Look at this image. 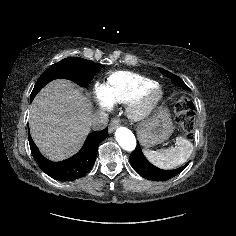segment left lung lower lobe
I'll return each mask as SVG.
<instances>
[{
	"mask_svg": "<svg viewBox=\"0 0 236 236\" xmlns=\"http://www.w3.org/2000/svg\"><path fill=\"white\" fill-rule=\"evenodd\" d=\"M130 163L134 170L142 177L153 181H165L177 174L187 167L189 162L184 166L175 170H162L152 165L144 156L139 144L129 157Z\"/></svg>",
	"mask_w": 236,
	"mask_h": 236,
	"instance_id": "1",
	"label": "left lung lower lobe"
}]
</instances>
